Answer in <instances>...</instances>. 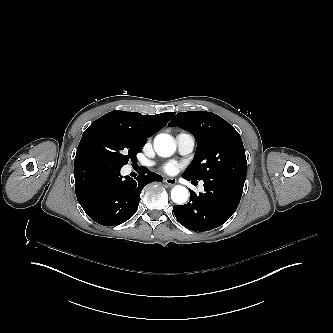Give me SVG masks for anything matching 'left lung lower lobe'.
Here are the masks:
<instances>
[{
  "instance_id": "left-lung-lower-lobe-1",
  "label": "left lung lower lobe",
  "mask_w": 333,
  "mask_h": 333,
  "mask_svg": "<svg viewBox=\"0 0 333 333\" xmlns=\"http://www.w3.org/2000/svg\"><path fill=\"white\" fill-rule=\"evenodd\" d=\"M183 177L196 181L185 175ZM244 182L237 177H219L211 183H204L205 193L197 195L190 190V201L173 207L177 220L192 231H208L222 225L236 211Z\"/></svg>"
}]
</instances>
